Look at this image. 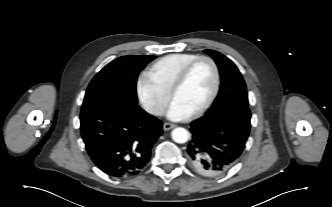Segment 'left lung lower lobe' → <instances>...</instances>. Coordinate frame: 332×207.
I'll use <instances>...</instances> for the list:
<instances>
[{
    "mask_svg": "<svg viewBox=\"0 0 332 207\" xmlns=\"http://www.w3.org/2000/svg\"><path fill=\"white\" fill-rule=\"evenodd\" d=\"M248 106L232 105L191 123L188 162L199 174L214 177L228 171L242 154L250 132Z\"/></svg>",
    "mask_w": 332,
    "mask_h": 207,
    "instance_id": "0a47b994",
    "label": "left lung lower lobe"
}]
</instances>
